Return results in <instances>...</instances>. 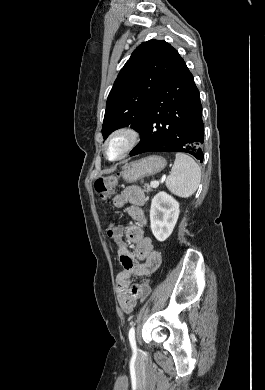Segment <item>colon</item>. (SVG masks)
I'll return each instance as SVG.
<instances>
[{
	"label": "colon",
	"mask_w": 265,
	"mask_h": 390,
	"mask_svg": "<svg viewBox=\"0 0 265 390\" xmlns=\"http://www.w3.org/2000/svg\"><path fill=\"white\" fill-rule=\"evenodd\" d=\"M117 183V178L115 176H107V177H100L96 179L94 183V187L98 195L102 199H106L109 194L113 191L115 185ZM107 235L110 239L117 242L120 238L118 226L111 223L107 227ZM150 292V284L148 281H144L140 284L139 288V294L140 299L145 300Z\"/></svg>",
	"instance_id": "5ec220e1"
}]
</instances>
